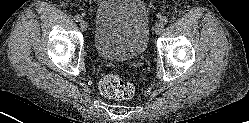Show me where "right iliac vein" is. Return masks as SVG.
<instances>
[{"mask_svg": "<svg viewBox=\"0 0 249 123\" xmlns=\"http://www.w3.org/2000/svg\"><path fill=\"white\" fill-rule=\"evenodd\" d=\"M79 26H80V29H81L82 31H86V30H87V27H88L87 22L84 21V20H81V21L79 22Z\"/></svg>", "mask_w": 249, "mask_h": 123, "instance_id": "1", "label": "right iliac vein"}]
</instances>
